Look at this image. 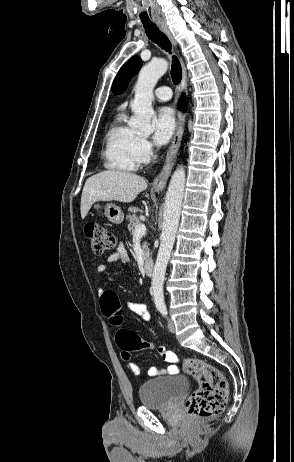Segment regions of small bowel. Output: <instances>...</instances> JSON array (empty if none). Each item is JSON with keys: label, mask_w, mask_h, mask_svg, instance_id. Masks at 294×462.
<instances>
[{"label": "small bowel", "mask_w": 294, "mask_h": 462, "mask_svg": "<svg viewBox=\"0 0 294 462\" xmlns=\"http://www.w3.org/2000/svg\"><path fill=\"white\" fill-rule=\"evenodd\" d=\"M107 262H119L124 265H129L131 260L129 255L127 254L126 250L123 247H119L116 252H114L112 255H110L107 258ZM97 271L99 273H105L106 272V266L105 264H99L97 266ZM104 291L103 289H98V293L102 294ZM127 307L128 309L138 315L143 321L148 322L151 319V314L150 310L147 304L145 303H138V302H127ZM157 352L161 354L163 360L169 365L167 366L166 369H157L156 367H151L148 370V375L150 376H155L158 374H170V375H175L179 373V367L177 365L178 362V357L177 355L166 349L164 346H158ZM122 359L125 362L130 361V355L127 356L122 352L121 354ZM129 370L131 371L132 374L134 375H140L141 370L138 365L134 363H129Z\"/></svg>", "instance_id": "small-bowel-1"}]
</instances>
